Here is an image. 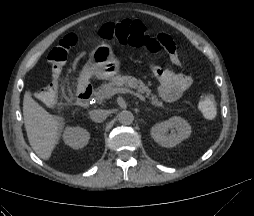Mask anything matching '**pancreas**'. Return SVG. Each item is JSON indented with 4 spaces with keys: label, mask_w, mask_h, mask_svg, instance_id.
Returning <instances> with one entry per match:
<instances>
[{
    "label": "pancreas",
    "mask_w": 254,
    "mask_h": 216,
    "mask_svg": "<svg viewBox=\"0 0 254 216\" xmlns=\"http://www.w3.org/2000/svg\"><path fill=\"white\" fill-rule=\"evenodd\" d=\"M120 86H125L127 88L136 89L139 94L144 95L146 98L151 100V104L156 107H164L163 102L157 98L155 94L140 80L131 76H111L107 79V82L101 84L100 88L96 92V99L102 102L106 96V92L109 89H115Z\"/></svg>",
    "instance_id": "pancreas-1"
}]
</instances>
